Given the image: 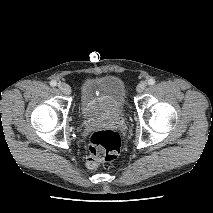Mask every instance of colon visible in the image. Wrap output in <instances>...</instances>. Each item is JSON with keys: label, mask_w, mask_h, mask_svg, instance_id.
<instances>
[{"label": "colon", "mask_w": 213, "mask_h": 213, "mask_svg": "<svg viewBox=\"0 0 213 213\" xmlns=\"http://www.w3.org/2000/svg\"><path fill=\"white\" fill-rule=\"evenodd\" d=\"M121 149L120 135L110 129L98 130L89 139V155L86 166L95 169L100 162L114 160Z\"/></svg>", "instance_id": "obj_1"}]
</instances>
